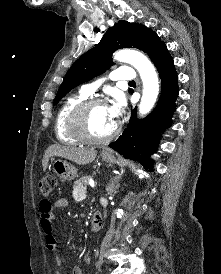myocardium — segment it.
<instances>
[{"label": "myocardium", "mask_w": 221, "mask_h": 274, "mask_svg": "<svg viewBox=\"0 0 221 274\" xmlns=\"http://www.w3.org/2000/svg\"><path fill=\"white\" fill-rule=\"evenodd\" d=\"M106 101L101 98H90L77 104L69 115V130L76 138L82 142L91 144H101L110 141L118 132V125L105 136L97 137L92 135L87 126V119L90 111L100 105H106Z\"/></svg>", "instance_id": "1"}]
</instances>
